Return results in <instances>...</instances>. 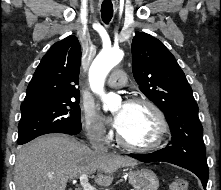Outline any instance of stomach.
I'll use <instances>...</instances> for the list:
<instances>
[{
  "mask_svg": "<svg viewBox=\"0 0 221 190\" xmlns=\"http://www.w3.org/2000/svg\"><path fill=\"white\" fill-rule=\"evenodd\" d=\"M129 183L135 190H158L159 181L156 174L149 169L130 171Z\"/></svg>",
  "mask_w": 221,
  "mask_h": 190,
  "instance_id": "1",
  "label": "stomach"
}]
</instances>
